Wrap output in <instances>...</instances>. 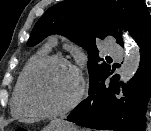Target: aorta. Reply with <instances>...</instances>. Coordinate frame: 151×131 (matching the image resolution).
<instances>
[{"label":"aorta","instance_id":"obj_1","mask_svg":"<svg viewBox=\"0 0 151 131\" xmlns=\"http://www.w3.org/2000/svg\"><path fill=\"white\" fill-rule=\"evenodd\" d=\"M126 55L124 62L120 68V81L127 83L132 77H134L140 65V51L134 42L124 35Z\"/></svg>","mask_w":151,"mask_h":131}]
</instances>
